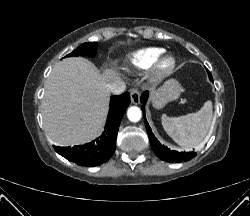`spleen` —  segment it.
<instances>
[{"mask_svg": "<svg viewBox=\"0 0 250 216\" xmlns=\"http://www.w3.org/2000/svg\"><path fill=\"white\" fill-rule=\"evenodd\" d=\"M212 102L207 101L196 113L179 117L162 116V125L167 134L186 149L199 148L207 138L212 124Z\"/></svg>", "mask_w": 250, "mask_h": 216, "instance_id": "spleen-1", "label": "spleen"}]
</instances>
